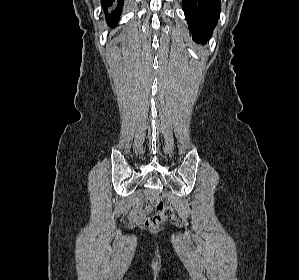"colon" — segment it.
Segmentation results:
<instances>
[{"instance_id":"1","label":"colon","mask_w":299,"mask_h":280,"mask_svg":"<svg viewBox=\"0 0 299 280\" xmlns=\"http://www.w3.org/2000/svg\"><path fill=\"white\" fill-rule=\"evenodd\" d=\"M153 203L158 211L155 215L147 219L146 224L149 228L154 229L164 222L173 220L174 210L167 202L160 197H154Z\"/></svg>"}]
</instances>
